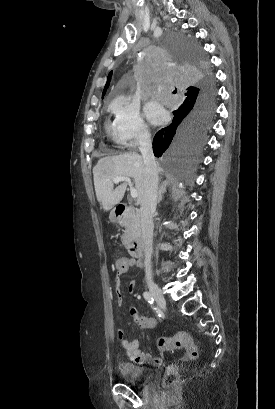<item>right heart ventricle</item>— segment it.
<instances>
[{"label": "right heart ventricle", "mask_w": 275, "mask_h": 409, "mask_svg": "<svg viewBox=\"0 0 275 409\" xmlns=\"http://www.w3.org/2000/svg\"><path fill=\"white\" fill-rule=\"evenodd\" d=\"M106 130H107V132L112 136V138L114 139V141H116V142L119 141V138H118V135H117V131H116V128H115V125H114V124L107 123V124H106Z\"/></svg>", "instance_id": "right-heart-ventricle-1"}]
</instances>
